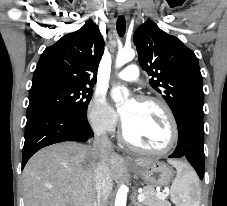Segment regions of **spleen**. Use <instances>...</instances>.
Listing matches in <instances>:
<instances>
[{
	"instance_id": "1",
	"label": "spleen",
	"mask_w": 227,
	"mask_h": 206,
	"mask_svg": "<svg viewBox=\"0 0 227 206\" xmlns=\"http://www.w3.org/2000/svg\"><path fill=\"white\" fill-rule=\"evenodd\" d=\"M169 163L177 170L171 186V195L178 201L177 206H200L201 192L196 174L180 161L170 160Z\"/></svg>"
}]
</instances>
